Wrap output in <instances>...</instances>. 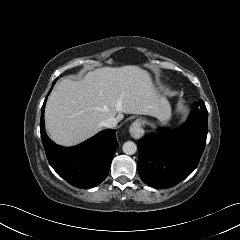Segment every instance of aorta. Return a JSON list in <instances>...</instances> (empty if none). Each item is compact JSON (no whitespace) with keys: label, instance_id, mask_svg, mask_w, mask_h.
Instances as JSON below:
<instances>
[{"label":"aorta","instance_id":"obj_1","mask_svg":"<svg viewBox=\"0 0 240 240\" xmlns=\"http://www.w3.org/2000/svg\"><path fill=\"white\" fill-rule=\"evenodd\" d=\"M122 150L127 155H133L137 151V145L132 141H127L123 144Z\"/></svg>","mask_w":240,"mask_h":240}]
</instances>
